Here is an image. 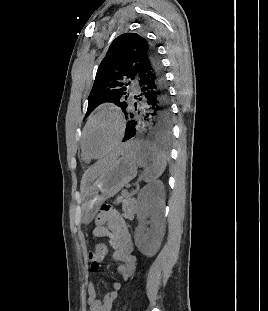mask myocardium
<instances>
[{
    "mask_svg": "<svg viewBox=\"0 0 268 311\" xmlns=\"http://www.w3.org/2000/svg\"><path fill=\"white\" fill-rule=\"evenodd\" d=\"M104 114H109L111 116H113L118 124V132L117 135L114 139V141L112 142V144L108 147V149L106 151H104L103 153L99 154V155H93L91 154L86 147V135L87 132L91 126V124L100 116L104 115ZM124 132H125V120L123 115L121 114L120 111H118L117 109L113 108V107H104L101 108L99 110H97L94 114H92L88 120L86 121V124L83 128V133H82V139H81V144H82V148L84 153L90 157V158H101L106 156L107 154H109L115 147H117V145L121 142L123 136H124Z\"/></svg>",
    "mask_w": 268,
    "mask_h": 311,
    "instance_id": "1",
    "label": "myocardium"
}]
</instances>
